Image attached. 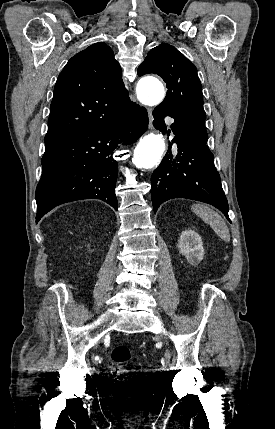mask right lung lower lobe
<instances>
[{
    "label": "right lung lower lobe",
    "mask_w": 275,
    "mask_h": 429,
    "mask_svg": "<svg viewBox=\"0 0 275 429\" xmlns=\"http://www.w3.org/2000/svg\"><path fill=\"white\" fill-rule=\"evenodd\" d=\"M147 127L146 109L132 102L123 116L109 124L46 144L36 188V222L55 206L80 199H101L117 209L118 164L113 151L135 142Z\"/></svg>",
    "instance_id": "right-lung-lower-lobe-1"
}]
</instances>
